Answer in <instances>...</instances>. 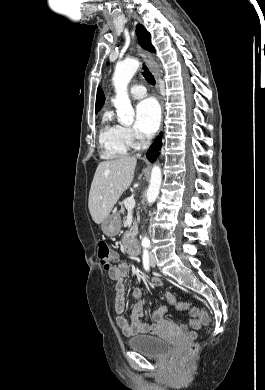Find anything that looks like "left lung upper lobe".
<instances>
[{
    "label": "left lung upper lobe",
    "instance_id": "left-lung-upper-lobe-1",
    "mask_svg": "<svg viewBox=\"0 0 265 390\" xmlns=\"http://www.w3.org/2000/svg\"><path fill=\"white\" fill-rule=\"evenodd\" d=\"M136 34H137V37H138V41H139V44L149 50V51H152L154 52L155 49L154 47L151 45V36L150 34L146 31L145 27L143 25H137L136 26Z\"/></svg>",
    "mask_w": 265,
    "mask_h": 390
}]
</instances>
